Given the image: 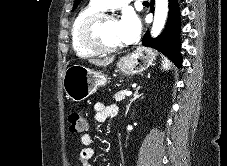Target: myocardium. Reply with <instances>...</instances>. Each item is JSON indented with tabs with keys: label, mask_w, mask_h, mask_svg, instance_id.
Segmentation results:
<instances>
[{
	"label": "myocardium",
	"mask_w": 227,
	"mask_h": 166,
	"mask_svg": "<svg viewBox=\"0 0 227 166\" xmlns=\"http://www.w3.org/2000/svg\"><path fill=\"white\" fill-rule=\"evenodd\" d=\"M109 19H116L115 15L105 11L88 16L79 28V40L81 44L97 54H111L122 49V44L114 47H106L98 40L97 29L99 25Z\"/></svg>",
	"instance_id": "myocardium-1"
}]
</instances>
